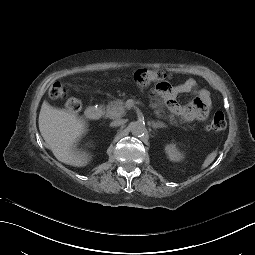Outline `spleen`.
<instances>
[{
    "label": "spleen",
    "mask_w": 255,
    "mask_h": 255,
    "mask_svg": "<svg viewBox=\"0 0 255 255\" xmlns=\"http://www.w3.org/2000/svg\"><path fill=\"white\" fill-rule=\"evenodd\" d=\"M217 156V151L214 150L212 151L210 154H208L203 162V164L201 165L200 170H204L205 168H207L215 159V157Z\"/></svg>",
    "instance_id": "3e777b00"
}]
</instances>
